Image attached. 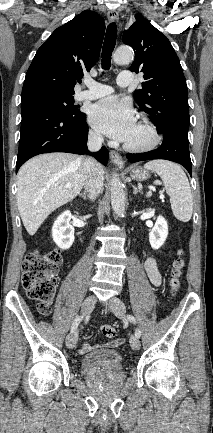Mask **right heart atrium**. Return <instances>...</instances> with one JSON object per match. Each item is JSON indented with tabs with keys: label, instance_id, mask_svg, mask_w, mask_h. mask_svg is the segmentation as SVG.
Here are the masks:
<instances>
[{
	"label": "right heart atrium",
	"instance_id": "d8ad5b80",
	"mask_svg": "<svg viewBox=\"0 0 213 433\" xmlns=\"http://www.w3.org/2000/svg\"><path fill=\"white\" fill-rule=\"evenodd\" d=\"M90 137H91V139H93L95 141H100L102 139L101 135L96 131H91Z\"/></svg>",
	"mask_w": 213,
	"mask_h": 433
}]
</instances>
